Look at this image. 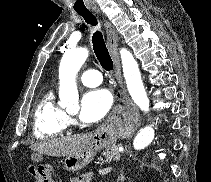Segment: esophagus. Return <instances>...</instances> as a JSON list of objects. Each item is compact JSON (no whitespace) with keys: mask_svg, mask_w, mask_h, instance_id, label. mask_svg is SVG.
I'll list each match as a JSON object with an SVG mask.
<instances>
[{"mask_svg":"<svg viewBox=\"0 0 211 182\" xmlns=\"http://www.w3.org/2000/svg\"><path fill=\"white\" fill-rule=\"evenodd\" d=\"M94 11L98 16L100 15V12L98 9H94ZM103 25L106 32L108 49L114 62L116 79L120 87V90L116 93L115 98H116V101L122 102L123 104L130 106L132 105V103L127 95V92L124 86L122 73H121L120 60L118 56V35L115 29L111 26V24L105 19H103ZM134 109L136 111V114L139 115L138 110L136 108ZM115 110H116V107L112 110V112L110 113V115L108 116L104 124L99 128L100 131L107 129V127L110 125L112 119L114 118Z\"/></svg>","mask_w":211,"mask_h":182,"instance_id":"obj_1","label":"esophagus"}]
</instances>
